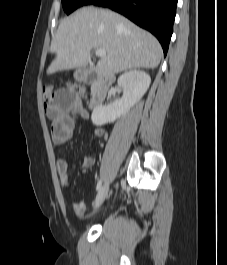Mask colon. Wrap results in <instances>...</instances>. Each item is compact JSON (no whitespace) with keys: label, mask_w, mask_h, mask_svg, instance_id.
Instances as JSON below:
<instances>
[{"label":"colon","mask_w":227,"mask_h":265,"mask_svg":"<svg viewBox=\"0 0 227 265\" xmlns=\"http://www.w3.org/2000/svg\"><path fill=\"white\" fill-rule=\"evenodd\" d=\"M54 91L55 90L52 85L47 84L43 86L42 95H43L44 102H50V99H53ZM75 91H81V94L83 93L82 89L78 87H75Z\"/></svg>","instance_id":"5ec220e1"}]
</instances>
